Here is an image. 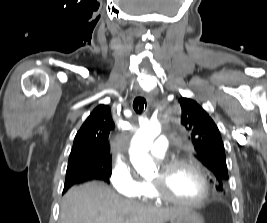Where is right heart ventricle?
Segmentation results:
<instances>
[{
	"instance_id": "obj_1",
	"label": "right heart ventricle",
	"mask_w": 267,
	"mask_h": 223,
	"mask_svg": "<svg viewBox=\"0 0 267 223\" xmlns=\"http://www.w3.org/2000/svg\"><path fill=\"white\" fill-rule=\"evenodd\" d=\"M142 200H156L155 194L149 181H141L139 192L136 195Z\"/></svg>"
}]
</instances>
